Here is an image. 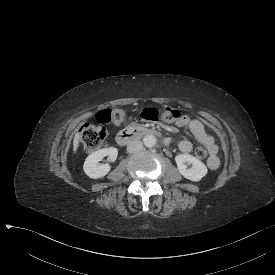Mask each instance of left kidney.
Masks as SVG:
<instances>
[{"label": "left kidney", "instance_id": "1", "mask_svg": "<svg viewBox=\"0 0 275 275\" xmlns=\"http://www.w3.org/2000/svg\"><path fill=\"white\" fill-rule=\"evenodd\" d=\"M175 162L179 173L186 179L198 182L206 176L208 169L206 165L192 155L180 154L175 156ZM185 163L192 164L191 168H187Z\"/></svg>", "mask_w": 275, "mask_h": 275}]
</instances>
